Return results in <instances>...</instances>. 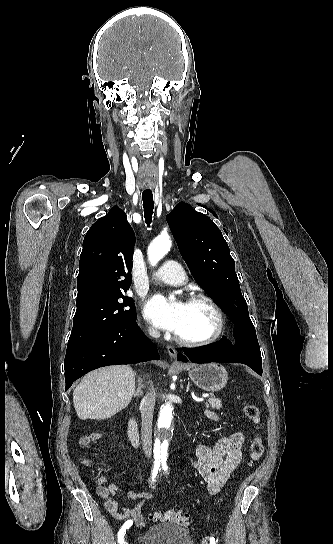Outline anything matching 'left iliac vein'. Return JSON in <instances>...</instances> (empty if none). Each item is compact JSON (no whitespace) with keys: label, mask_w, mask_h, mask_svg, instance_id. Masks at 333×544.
<instances>
[{"label":"left iliac vein","mask_w":333,"mask_h":544,"mask_svg":"<svg viewBox=\"0 0 333 544\" xmlns=\"http://www.w3.org/2000/svg\"><path fill=\"white\" fill-rule=\"evenodd\" d=\"M202 544H208V542L206 541V539H203Z\"/></svg>","instance_id":"1"}]
</instances>
